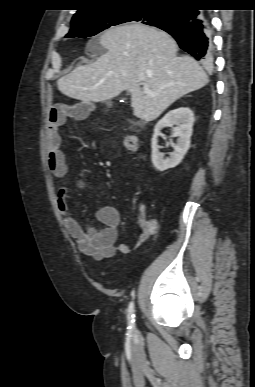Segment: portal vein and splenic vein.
Returning <instances> with one entry per match:
<instances>
[{"instance_id":"18ae733b","label":"portal vein and splenic vein","mask_w":255,"mask_h":387,"mask_svg":"<svg viewBox=\"0 0 255 387\" xmlns=\"http://www.w3.org/2000/svg\"><path fill=\"white\" fill-rule=\"evenodd\" d=\"M143 89H144L145 93H147V94H149V95H151V96L154 95V94L148 89V87H147L146 85L143 86Z\"/></svg>"}]
</instances>
